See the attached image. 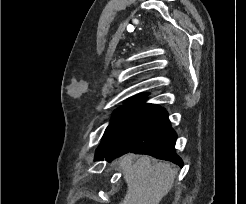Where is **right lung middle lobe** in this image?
Returning a JSON list of instances; mask_svg holds the SVG:
<instances>
[{
	"label": "right lung middle lobe",
	"instance_id": "1",
	"mask_svg": "<svg viewBox=\"0 0 246 204\" xmlns=\"http://www.w3.org/2000/svg\"><path fill=\"white\" fill-rule=\"evenodd\" d=\"M134 103L135 102H133V101H126L124 103V105H122L121 107H119L116 110L114 117H113V120L111 121V123L107 127V129L103 135L102 141L96 150L95 158L104 156L109 151L112 144L115 142V139H116L117 134L119 132L120 126H121L128 110L130 109V107Z\"/></svg>",
	"mask_w": 246,
	"mask_h": 204
}]
</instances>
